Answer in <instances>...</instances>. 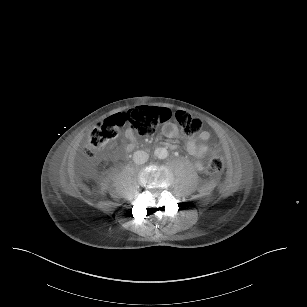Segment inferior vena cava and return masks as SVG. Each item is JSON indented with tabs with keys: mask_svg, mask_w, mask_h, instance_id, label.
Masks as SVG:
<instances>
[{
	"mask_svg": "<svg viewBox=\"0 0 307 307\" xmlns=\"http://www.w3.org/2000/svg\"><path fill=\"white\" fill-rule=\"evenodd\" d=\"M149 160V154L145 151L139 150L134 152L133 154V161L138 164H144Z\"/></svg>",
	"mask_w": 307,
	"mask_h": 307,
	"instance_id": "inferior-vena-cava-1",
	"label": "inferior vena cava"
}]
</instances>
